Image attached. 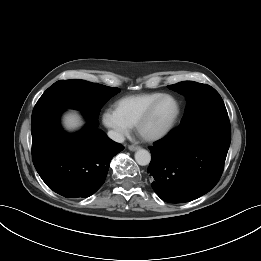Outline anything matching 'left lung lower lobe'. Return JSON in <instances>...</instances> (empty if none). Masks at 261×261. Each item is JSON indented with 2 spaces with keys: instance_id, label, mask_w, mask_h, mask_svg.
Segmentation results:
<instances>
[{
  "instance_id": "left-lung-lower-lobe-1",
  "label": "left lung lower lobe",
  "mask_w": 261,
  "mask_h": 261,
  "mask_svg": "<svg viewBox=\"0 0 261 261\" xmlns=\"http://www.w3.org/2000/svg\"><path fill=\"white\" fill-rule=\"evenodd\" d=\"M231 141L228 114L178 126L150 146L152 188L169 203L195 200L219 181Z\"/></svg>"
}]
</instances>
